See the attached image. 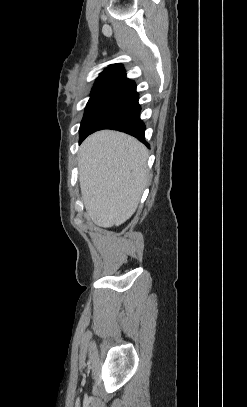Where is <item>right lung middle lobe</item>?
Returning <instances> with one entry per match:
<instances>
[{"instance_id":"dd1d6c3e","label":"right lung middle lobe","mask_w":247,"mask_h":407,"mask_svg":"<svg viewBox=\"0 0 247 407\" xmlns=\"http://www.w3.org/2000/svg\"><path fill=\"white\" fill-rule=\"evenodd\" d=\"M138 94L133 90L116 89L91 96L79 129L80 140L95 128L110 113L134 99Z\"/></svg>"}]
</instances>
